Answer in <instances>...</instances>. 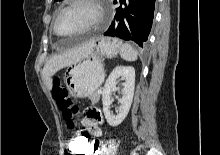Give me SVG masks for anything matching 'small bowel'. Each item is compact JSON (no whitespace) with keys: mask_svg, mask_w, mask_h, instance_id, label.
<instances>
[{"mask_svg":"<svg viewBox=\"0 0 220 155\" xmlns=\"http://www.w3.org/2000/svg\"><path fill=\"white\" fill-rule=\"evenodd\" d=\"M86 118L83 121V124L87 126V132L95 138V140H90L93 142V147H90V155H93L98 149L95 148L96 144H99L100 141L98 138L102 135V117L97 109L96 105H89L86 108ZM76 135H84L83 133L78 132ZM74 139V138H73ZM90 139V138H89ZM68 146V145H67Z\"/></svg>","mask_w":220,"mask_h":155,"instance_id":"small-bowel-1","label":"small bowel"}]
</instances>
